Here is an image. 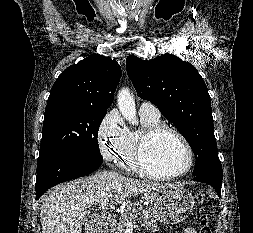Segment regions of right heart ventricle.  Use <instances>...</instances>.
Here are the masks:
<instances>
[{
  "instance_id": "e07e8e85",
  "label": "right heart ventricle",
  "mask_w": 253,
  "mask_h": 233,
  "mask_svg": "<svg viewBox=\"0 0 253 233\" xmlns=\"http://www.w3.org/2000/svg\"><path fill=\"white\" fill-rule=\"evenodd\" d=\"M142 122V129L140 130H127L126 138L123 147L116 160L117 164L123 169L140 174L141 172L136 166L135 151L137 143L142 133L150 127L161 124L160 117H152L140 115Z\"/></svg>"
}]
</instances>
